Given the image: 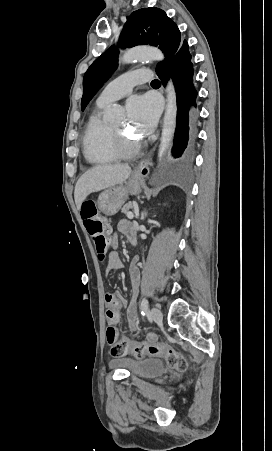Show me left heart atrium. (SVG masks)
<instances>
[{"label":"left heart atrium","instance_id":"1","mask_svg":"<svg viewBox=\"0 0 272 451\" xmlns=\"http://www.w3.org/2000/svg\"><path fill=\"white\" fill-rule=\"evenodd\" d=\"M128 120L133 130L140 135L149 134L156 125L159 105L149 95L134 96L126 105Z\"/></svg>","mask_w":272,"mask_h":451}]
</instances>
